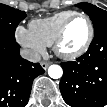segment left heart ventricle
Returning <instances> with one entry per match:
<instances>
[{
	"label": "left heart ventricle",
	"instance_id": "b2bd125f",
	"mask_svg": "<svg viewBox=\"0 0 107 107\" xmlns=\"http://www.w3.org/2000/svg\"><path fill=\"white\" fill-rule=\"evenodd\" d=\"M88 32L87 22L83 18H75L67 28L62 50L65 52L78 50L86 41Z\"/></svg>",
	"mask_w": 107,
	"mask_h": 107
}]
</instances>
